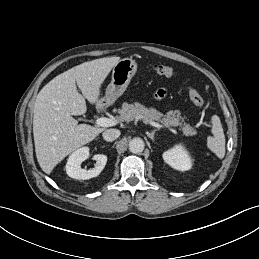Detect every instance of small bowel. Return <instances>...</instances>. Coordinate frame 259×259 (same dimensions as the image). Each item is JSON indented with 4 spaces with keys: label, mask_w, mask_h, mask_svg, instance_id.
Listing matches in <instances>:
<instances>
[{
    "label": "small bowel",
    "mask_w": 259,
    "mask_h": 259,
    "mask_svg": "<svg viewBox=\"0 0 259 259\" xmlns=\"http://www.w3.org/2000/svg\"><path fill=\"white\" fill-rule=\"evenodd\" d=\"M159 96H163L164 95V91L161 90L159 93H158Z\"/></svg>",
    "instance_id": "obj_1"
}]
</instances>
